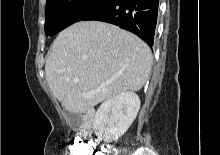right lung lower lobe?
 <instances>
[{
    "label": "right lung lower lobe",
    "mask_w": 220,
    "mask_h": 155,
    "mask_svg": "<svg viewBox=\"0 0 220 155\" xmlns=\"http://www.w3.org/2000/svg\"><path fill=\"white\" fill-rule=\"evenodd\" d=\"M159 0H114L84 20H98L117 25L153 45Z\"/></svg>",
    "instance_id": "1"
}]
</instances>
